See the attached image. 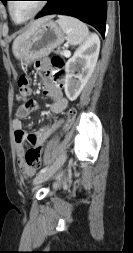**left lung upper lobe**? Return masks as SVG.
Returning <instances> with one entry per match:
<instances>
[{"label": "left lung upper lobe", "instance_id": "left-lung-upper-lobe-1", "mask_svg": "<svg viewBox=\"0 0 133 253\" xmlns=\"http://www.w3.org/2000/svg\"><path fill=\"white\" fill-rule=\"evenodd\" d=\"M0 1H2L4 5H6L7 1L9 0H0Z\"/></svg>", "mask_w": 133, "mask_h": 253}]
</instances>
